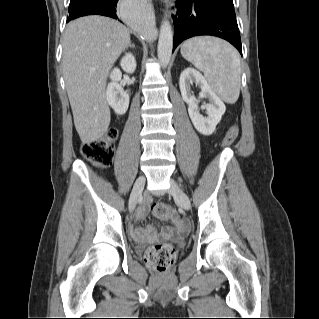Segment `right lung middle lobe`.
I'll list each match as a JSON object with an SVG mask.
<instances>
[{"label":"right lung middle lobe","instance_id":"right-lung-middle-lobe-1","mask_svg":"<svg viewBox=\"0 0 319 319\" xmlns=\"http://www.w3.org/2000/svg\"><path fill=\"white\" fill-rule=\"evenodd\" d=\"M87 0H70L69 14L74 12L77 8L81 7Z\"/></svg>","mask_w":319,"mask_h":319}]
</instances>
